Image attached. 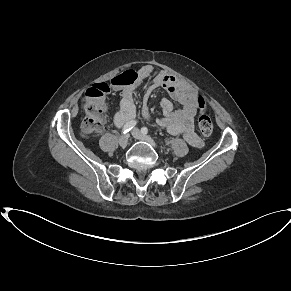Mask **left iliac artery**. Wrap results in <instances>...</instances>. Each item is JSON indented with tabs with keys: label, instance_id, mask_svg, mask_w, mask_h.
I'll return each mask as SVG.
<instances>
[{
	"label": "left iliac artery",
	"instance_id": "left-iliac-artery-1",
	"mask_svg": "<svg viewBox=\"0 0 291 291\" xmlns=\"http://www.w3.org/2000/svg\"><path fill=\"white\" fill-rule=\"evenodd\" d=\"M141 132H142L144 135L148 134V128H147V127H142V128H141Z\"/></svg>",
	"mask_w": 291,
	"mask_h": 291
}]
</instances>
